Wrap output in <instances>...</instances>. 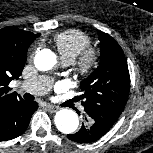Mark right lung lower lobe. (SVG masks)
Masks as SVG:
<instances>
[{
  "mask_svg": "<svg viewBox=\"0 0 153 153\" xmlns=\"http://www.w3.org/2000/svg\"><path fill=\"white\" fill-rule=\"evenodd\" d=\"M36 102L19 100L9 104L0 112V141L14 139L25 132L34 111Z\"/></svg>",
  "mask_w": 153,
  "mask_h": 153,
  "instance_id": "1",
  "label": "right lung lower lobe"
}]
</instances>
